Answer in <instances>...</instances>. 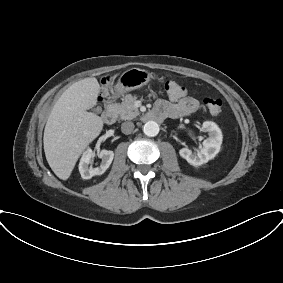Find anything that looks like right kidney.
Returning a JSON list of instances; mask_svg holds the SVG:
<instances>
[{
	"label": "right kidney",
	"instance_id": "ca27d5eb",
	"mask_svg": "<svg viewBox=\"0 0 283 283\" xmlns=\"http://www.w3.org/2000/svg\"><path fill=\"white\" fill-rule=\"evenodd\" d=\"M97 155L102 161L99 167L93 168L90 164L93 162L95 153L90 148L83 153L79 163V172L83 179H90L95 175H102L109 168L114 157L113 151L110 150H102Z\"/></svg>",
	"mask_w": 283,
	"mask_h": 283
}]
</instances>
